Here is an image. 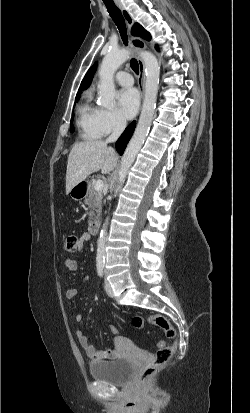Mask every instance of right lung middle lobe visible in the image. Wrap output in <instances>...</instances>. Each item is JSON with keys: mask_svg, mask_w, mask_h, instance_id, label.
Returning <instances> with one entry per match:
<instances>
[{"mask_svg": "<svg viewBox=\"0 0 250 413\" xmlns=\"http://www.w3.org/2000/svg\"><path fill=\"white\" fill-rule=\"evenodd\" d=\"M79 97H80V96H77V97H76V102L78 101ZM73 117H74V113H72L71 123H72V121H73ZM73 130H74V128H73V126H72V124H71L70 131H73Z\"/></svg>", "mask_w": 250, "mask_h": 413, "instance_id": "1", "label": "right lung middle lobe"}]
</instances>
